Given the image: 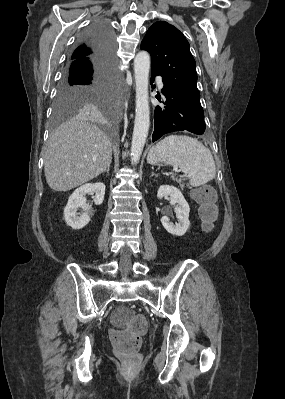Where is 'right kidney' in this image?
Returning a JSON list of instances; mask_svg holds the SVG:
<instances>
[{"mask_svg": "<svg viewBox=\"0 0 285 399\" xmlns=\"http://www.w3.org/2000/svg\"><path fill=\"white\" fill-rule=\"evenodd\" d=\"M95 194L94 203L102 204L105 195V185L103 183H88L77 188L69 197L64 209V219L68 226L73 229H81L90 222V206L86 202V195ZM82 208L83 212L78 213Z\"/></svg>", "mask_w": 285, "mask_h": 399, "instance_id": "obj_1", "label": "right kidney"}]
</instances>
